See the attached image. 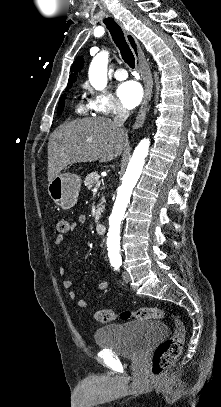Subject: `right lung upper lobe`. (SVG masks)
Listing matches in <instances>:
<instances>
[{
	"instance_id": "cb5924a9",
	"label": "right lung upper lobe",
	"mask_w": 221,
	"mask_h": 407,
	"mask_svg": "<svg viewBox=\"0 0 221 407\" xmlns=\"http://www.w3.org/2000/svg\"><path fill=\"white\" fill-rule=\"evenodd\" d=\"M83 56L78 57L71 67L72 74L69 77L67 88H71L72 84L76 81V74L82 69L83 67Z\"/></svg>"
}]
</instances>
